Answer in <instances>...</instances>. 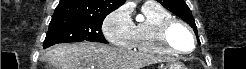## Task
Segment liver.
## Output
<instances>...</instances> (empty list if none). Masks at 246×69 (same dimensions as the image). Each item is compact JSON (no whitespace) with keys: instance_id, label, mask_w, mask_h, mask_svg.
Listing matches in <instances>:
<instances>
[{"instance_id":"1","label":"liver","mask_w":246,"mask_h":69,"mask_svg":"<svg viewBox=\"0 0 246 69\" xmlns=\"http://www.w3.org/2000/svg\"><path fill=\"white\" fill-rule=\"evenodd\" d=\"M58 69H142L162 61L161 58L101 43H66L56 45L45 54Z\"/></svg>"}]
</instances>
